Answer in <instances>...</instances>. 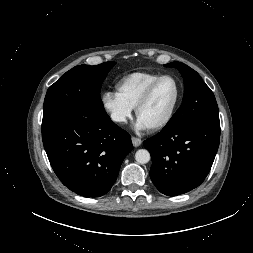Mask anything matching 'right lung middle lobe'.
<instances>
[{
    "instance_id": "right-lung-middle-lobe-1",
    "label": "right lung middle lobe",
    "mask_w": 253,
    "mask_h": 253,
    "mask_svg": "<svg viewBox=\"0 0 253 253\" xmlns=\"http://www.w3.org/2000/svg\"><path fill=\"white\" fill-rule=\"evenodd\" d=\"M115 63L78 65L67 71L46 93L43 121L69 111H82L86 115L105 111L100 90Z\"/></svg>"
}]
</instances>
